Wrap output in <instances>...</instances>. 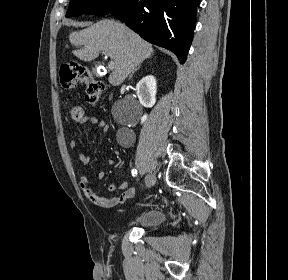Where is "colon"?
I'll return each mask as SVG.
<instances>
[{"label": "colon", "mask_w": 288, "mask_h": 280, "mask_svg": "<svg viewBox=\"0 0 288 280\" xmlns=\"http://www.w3.org/2000/svg\"><path fill=\"white\" fill-rule=\"evenodd\" d=\"M60 83L66 90H73L77 84H86V102L95 105L104 92V85L94 80L89 71L81 65H65L60 69ZM69 115L74 121H81L84 117V108L79 104L69 107Z\"/></svg>", "instance_id": "colon-1"}]
</instances>
